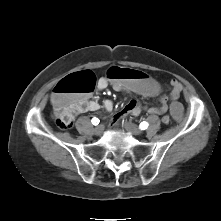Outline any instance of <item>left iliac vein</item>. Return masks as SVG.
<instances>
[{
  "instance_id": "left-iliac-vein-1",
  "label": "left iliac vein",
  "mask_w": 221,
  "mask_h": 221,
  "mask_svg": "<svg viewBox=\"0 0 221 221\" xmlns=\"http://www.w3.org/2000/svg\"><path fill=\"white\" fill-rule=\"evenodd\" d=\"M123 127L126 131L134 134V135H140L142 134V129H140L138 126L131 122H124Z\"/></svg>"
}]
</instances>
